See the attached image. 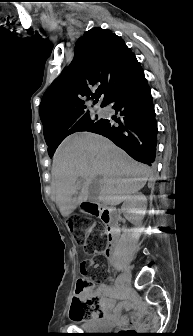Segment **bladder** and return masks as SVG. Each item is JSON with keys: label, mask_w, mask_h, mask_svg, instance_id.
<instances>
[{"label": "bladder", "mask_w": 193, "mask_h": 336, "mask_svg": "<svg viewBox=\"0 0 193 336\" xmlns=\"http://www.w3.org/2000/svg\"><path fill=\"white\" fill-rule=\"evenodd\" d=\"M102 326L103 322L101 320H93L89 322V324L86 326V329L90 331H101L103 329Z\"/></svg>", "instance_id": "1"}]
</instances>
